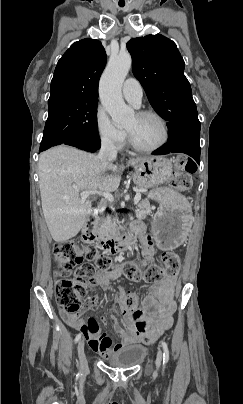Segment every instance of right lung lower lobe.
Instances as JSON below:
<instances>
[{
	"label": "right lung lower lobe",
	"instance_id": "1",
	"mask_svg": "<svg viewBox=\"0 0 243 404\" xmlns=\"http://www.w3.org/2000/svg\"><path fill=\"white\" fill-rule=\"evenodd\" d=\"M64 144L80 148L85 151L95 152L100 149V140L73 137L67 139Z\"/></svg>",
	"mask_w": 243,
	"mask_h": 404
}]
</instances>
